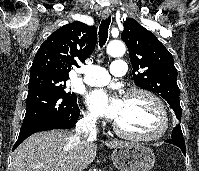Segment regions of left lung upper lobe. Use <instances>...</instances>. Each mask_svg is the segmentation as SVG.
<instances>
[{
    "label": "left lung upper lobe",
    "instance_id": "1",
    "mask_svg": "<svg viewBox=\"0 0 199 171\" xmlns=\"http://www.w3.org/2000/svg\"><path fill=\"white\" fill-rule=\"evenodd\" d=\"M123 25L121 39L129 50L135 84L162 96L180 120V91L172 54L136 20L129 18Z\"/></svg>",
    "mask_w": 199,
    "mask_h": 171
}]
</instances>
